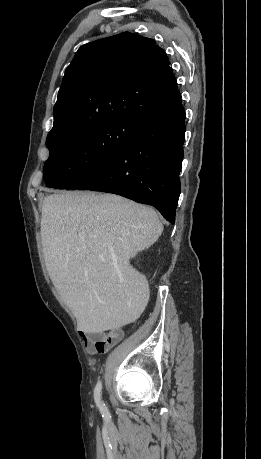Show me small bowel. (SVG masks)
I'll return each mask as SVG.
<instances>
[{
	"mask_svg": "<svg viewBox=\"0 0 261 459\" xmlns=\"http://www.w3.org/2000/svg\"><path fill=\"white\" fill-rule=\"evenodd\" d=\"M80 334L90 354L103 353L123 339L122 329L106 331L93 325L85 326Z\"/></svg>",
	"mask_w": 261,
	"mask_h": 459,
	"instance_id": "obj_1",
	"label": "small bowel"
}]
</instances>
